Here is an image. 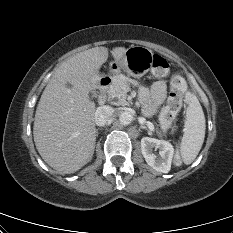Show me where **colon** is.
<instances>
[{
  "label": "colon",
  "mask_w": 233,
  "mask_h": 233,
  "mask_svg": "<svg viewBox=\"0 0 233 233\" xmlns=\"http://www.w3.org/2000/svg\"><path fill=\"white\" fill-rule=\"evenodd\" d=\"M151 71L155 77L161 78L166 76L169 72L168 61L160 55H154L152 59ZM185 90V80L180 75H174L171 78V92L169 98L162 108L159 116V124L162 130L165 131L172 125L176 115L182 107ZM173 163L177 167L182 165L183 161L180 154H175Z\"/></svg>",
  "instance_id": "colon-1"
}]
</instances>
